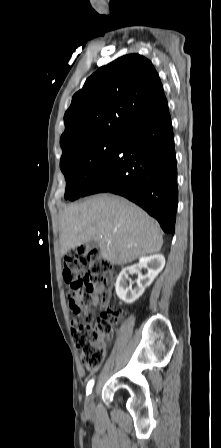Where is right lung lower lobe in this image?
Instances as JSON below:
<instances>
[{
  "label": "right lung lower lobe",
  "instance_id": "obj_1",
  "mask_svg": "<svg viewBox=\"0 0 221 448\" xmlns=\"http://www.w3.org/2000/svg\"><path fill=\"white\" fill-rule=\"evenodd\" d=\"M122 195L174 234L178 204L174 136L167 100L129 123L82 196Z\"/></svg>",
  "mask_w": 221,
  "mask_h": 448
}]
</instances>
